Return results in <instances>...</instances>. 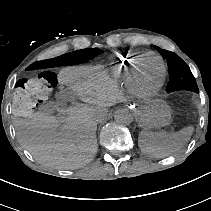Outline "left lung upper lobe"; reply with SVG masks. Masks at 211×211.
<instances>
[{
  "mask_svg": "<svg viewBox=\"0 0 211 211\" xmlns=\"http://www.w3.org/2000/svg\"><path fill=\"white\" fill-rule=\"evenodd\" d=\"M154 48L167 60L169 82L166 91L189 90L198 93L196 80L188 65L174 52L162 50L157 46Z\"/></svg>",
  "mask_w": 211,
  "mask_h": 211,
  "instance_id": "left-lung-upper-lobe-1",
  "label": "left lung upper lobe"
}]
</instances>
